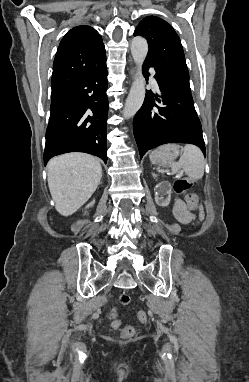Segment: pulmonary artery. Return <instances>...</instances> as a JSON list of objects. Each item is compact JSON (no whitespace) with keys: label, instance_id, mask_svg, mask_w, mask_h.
<instances>
[{"label":"pulmonary artery","instance_id":"pulmonary-artery-1","mask_svg":"<svg viewBox=\"0 0 249 382\" xmlns=\"http://www.w3.org/2000/svg\"><path fill=\"white\" fill-rule=\"evenodd\" d=\"M152 83H153L154 86H157V82H156V80H155L153 74H152Z\"/></svg>","mask_w":249,"mask_h":382}]
</instances>
